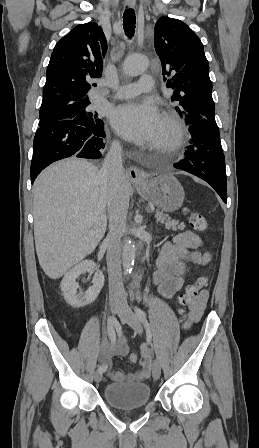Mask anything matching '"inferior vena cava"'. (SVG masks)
I'll return each mask as SVG.
<instances>
[{
    "label": "inferior vena cava",
    "instance_id": "602c4592",
    "mask_svg": "<svg viewBox=\"0 0 259 448\" xmlns=\"http://www.w3.org/2000/svg\"><path fill=\"white\" fill-rule=\"evenodd\" d=\"M100 188L107 192L109 216V234L105 240L107 250V268L109 274L110 302H120L127 306V294L124 290L121 272V238L126 228V216L129 208L126 178L122 164L120 142H113L99 172Z\"/></svg>",
    "mask_w": 259,
    "mask_h": 448
}]
</instances>
